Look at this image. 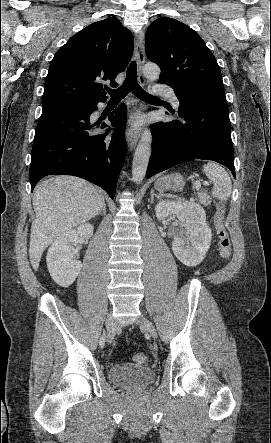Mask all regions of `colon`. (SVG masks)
I'll list each match as a JSON object with an SVG mask.
<instances>
[{
	"mask_svg": "<svg viewBox=\"0 0 271 443\" xmlns=\"http://www.w3.org/2000/svg\"><path fill=\"white\" fill-rule=\"evenodd\" d=\"M218 248L221 256L225 259L231 256L232 246L225 226V206L223 203L217 205V212L214 219ZM134 362L145 365L149 362V357L145 353H137L133 357Z\"/></svg>",
	"mask_w": 271,
	"mask_h": 443,
	"instance_id": "obj_1",
	"label": "colon"
}]
</instances>
